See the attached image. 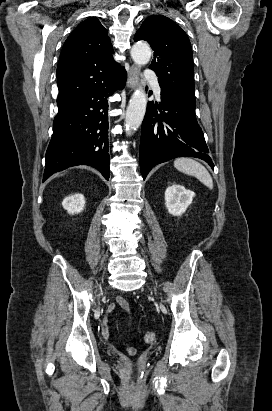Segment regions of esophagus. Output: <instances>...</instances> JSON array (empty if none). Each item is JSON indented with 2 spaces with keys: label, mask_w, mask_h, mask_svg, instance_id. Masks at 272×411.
<instances>
[{
  "label": "esophagus",
  "mask_w": 272,
  "mask_h": 411,
  "mask_svg": "<svg viewBox=\"0 0 272 411\" xmlns=\"http://www.w3.org/2000/svg\"><path fill=\"white\" fill-rule=\"evenodd\" d=\"M139 68L136 65H132L128 74V79H127V87L131 90L135 89L137 85V81L139 78Z\"/></svg>",
  "instance_id": "obj_1"
}]
</instances>
